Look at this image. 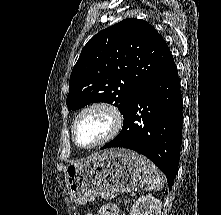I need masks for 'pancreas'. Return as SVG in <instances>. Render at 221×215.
<instances>
[{
    "label": "pancreas",
    "instance_id": "1",
    "mask_svg": "<svg viewBox=\"0 0 221 215\" xmlns=\"http://www.w3.org/2000/svg\"><path fill=\"white\" fill-rule=\"evenodd\" d=\"M123 203H124V205H125V206H127V205H128V203H129V200L124 199V200H123Z\"/></svg>",
    "mask_w": 221,
    "mask_h": 215
}]
</instances>
